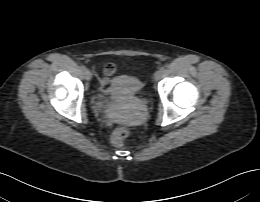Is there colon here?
Masks as SVG:
<instances>
[{"instance_id": "colon-1", "label": "colon", "mask_w": 260, "mask_h": 202, "mask_svg": "<svg viewBox=\"0 0 260 202\" xmlns=\"http://www.w3.org/2000/svg\"><path fill=\"white\" fill-rule=\"evenodd\" d=\"M114 71V67L112 65H107L105 68H104V73L105 74H112ZM128 136V131L126 128L124 127H119L117 128L112 136H111V142L113 144V146L117 147V148H120L124 145V142L126 140Z\"/></svg>"}]
</instances>
